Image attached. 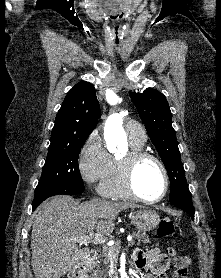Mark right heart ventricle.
I'll return each mask as SVG.
<instances>
[{"mask_svg":"<svg viewBox=\"0 0 221 278\" xmlns=\"http://www.w3.org/2000/svg\"><path fill=\"white\" fill-rule=\"evenodd\" d=\"M144 143L145 141L130 139L131 149L133 150H143ZM100 191L104 195L115 199L131 198L121 183L118 163L115 159H113L111 170L100 184Z\"/></svg>","mask_w":221,"mask_h":278,"instance_id":"e07e8e85","label":"right heart ventricle"}]
</instances>
